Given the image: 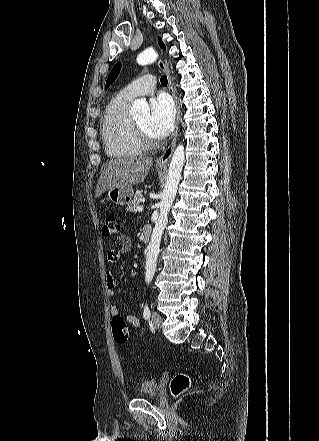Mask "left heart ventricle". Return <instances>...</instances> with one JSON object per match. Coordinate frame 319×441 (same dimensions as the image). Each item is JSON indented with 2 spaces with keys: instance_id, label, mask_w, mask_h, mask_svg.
<instances>
[{
  "instance_id": "obj_1",
  "label": "left heart ventricle",
  "mask_w": 319,
  "mask_h": 441,
  "mask_svg": "<svg viewBox=\"0 0 319 441\" xmlns=\"http://www.w3.org/2000/svg\"><path fill=\"white\" fill-rule=\"evenodd\" d=\"M149 121H150L149 116H145V117H142L141 119H139L137 121V123L148 135L151 136L150 131H149Z\"/></svg>"
}]
</instances>
